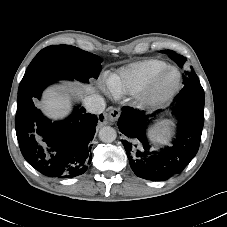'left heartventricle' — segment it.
<instances>
[{
    "mask_svg": "<svg viewBox=\"0 0 227 227\" xmlns=\"http://www.w3.org/2000/svg\"><path fill=\"white\" fill-rule=\"evenodd\" d=\"M176 80V73L173 71L168 72L161 80L160 89H168Z\"/></svg>",
    "mask_w": 227,
    "mask_h": 227,
    "instance_id": "1",
    "label": "left heart ventricle"
}]
</instances>
